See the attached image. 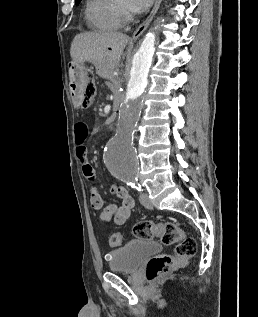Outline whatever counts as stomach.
Wrapping results in <instances>:
<instances>
[{"label": "stomach", "mask_w": 258, "mask_h": 317, "mask_svg": "<svg viewBox=\"0 0 258 317\" xmlns=\"http://www.w3.org/2000/svg\"><path fill=\"white\" fill-rule=\"evenodd\" d=\"M72 64L75 74H77V72H84V70H88L87 66H85V64H81V62H72Z\"/></svg>", "instance_id": "0dacf381"}]
</instances>
